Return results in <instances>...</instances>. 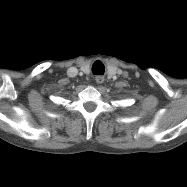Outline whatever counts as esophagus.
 <instances>
[{"label":"esophagus","mask_w":187,"mask_h":187,"mask_svg":"<svg viewBox=\"0 0 187 187\" xmlns=\"http://www.w3.org/2000/svg\"><path fill=\"white\" fill-rule=\"evenodd\" d=\"M95 80H96V83H98V84H102L103 82H104V77L103 76H97L96 78H95Z\"/></svg>","instance_id":"1"}]
</instances>
